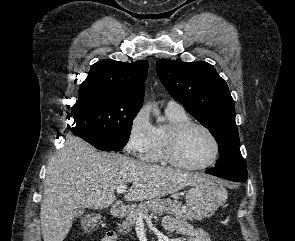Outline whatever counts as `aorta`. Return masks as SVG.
Listing matches in <instances>:
<instances>
[{"mask_svg": "<svg viewBox=\"0 0 295 241\" xmlns=\"http://www.w3.org/2000/svg\"><path fill=\"white\" fill-rule=\"evenodd\" d=\"M153 114L156 116L158 122L164 121V117H162L160 115V110L158 109L157 106H154V108H153Z\"/></svg>", "mask_w": 295, "mask_h": 241, "instance_id": "obj_1", "label": "aorta"}]
</instances>
